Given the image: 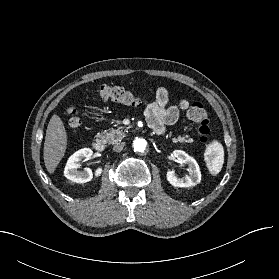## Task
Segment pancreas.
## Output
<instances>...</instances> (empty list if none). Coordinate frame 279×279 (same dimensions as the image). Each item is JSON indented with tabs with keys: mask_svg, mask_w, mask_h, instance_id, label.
<instances>
[{
	"mask_svg": "<svg viewBox=\"0 0 279 279\" xmlns=\"http://www.w3.org/2000/svg\"><path fill=\"white\" fill-rule=\"evenodd\" d=\"M102 139L106 140L108 144H115L118 141H121L125 137V131L123 127H118L117 129H109L105 130L101 136ZM192 139L189 138V135L179 136L177 138H173L172 142L177 143H185V142H191Z\"/></svg>",
	"mask_w": 279,
	"mask_h": 279,
	"instance_id": "cf45deb5",
	"label": "pancreas"
}]
</instances>
